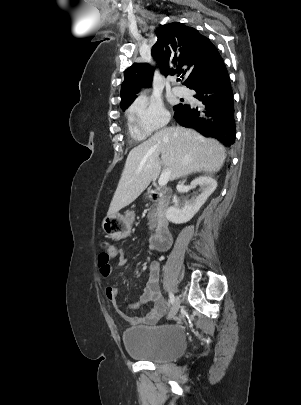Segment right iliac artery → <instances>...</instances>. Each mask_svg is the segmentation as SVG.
<instances>
[{
  "instance_id": "1",
  "label": "right iliac artery",
  "mask_w": 301,
  "mask_h": 405,
  "mask_svg": "<svg viewBox=\"0 0 301 405\" xmlns=\"http://www.w3.org/2000/svg\"><path fill=\"white\" fill-rule=\"evenodd\" d=\"M174 301H175V297H174L173 293H172V292H169V302H170L171 304H173Z\"/></svg>"
}]
</instances>
